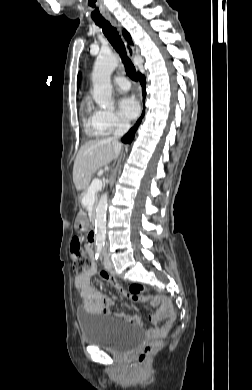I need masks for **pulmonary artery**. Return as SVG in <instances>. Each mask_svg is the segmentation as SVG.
Instances as JSON below:
<instances>
[{"instance_id": "obj_1", "label": "pulmonary artery", "mask_w": 252, "mask_h": 390, "mask_svg": "<svg viewBox=\"0 0 252 390\" xmlns=\"http://www.w3.org/2000/svg\"><path fill=\"white\" fill-rule=\"evenodd\" d=\"M114 85L120 90H128L130 88V83L125 77L117 76L113 80Z\"/></svg>"}]
</instances>
